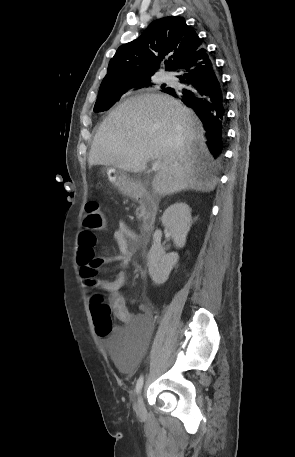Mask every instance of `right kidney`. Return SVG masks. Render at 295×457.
<instances>
[{
	"label": "right kidney",
	"instance_id": "obj_1",
	"mask_svg": "<svg viewBox=\"0 0 295 457\" xmlns=\"http://www.w3.org/2000/svg\"><path fill=\"white\" fill-rule=\"evenodd\" d=\"M161 220L171 233L174 244L182 248L192 224L190 207L183 202L174 203L164 211ZM161 237V230H156L153 234V245L148 254L149 275L157 285L167 281L179 259L175 252L165 253L161 245Z\"/></svg>",
	"mask_w": 295,
	"mask_h": 457
}]
</instances>
